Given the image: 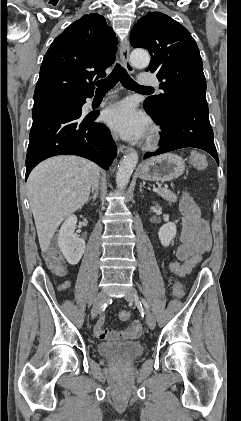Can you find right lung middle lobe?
<instances>
[{"mask_svg":"<svg viewBox=\"0 0 241 421\" xmlns=\"http://www.w3.org/2000/svg\"><path fill=\"white\" fill-rule=\"evenodd\" d=\"M45 104H46V103H44V104H40V105H37V106H34V107H33V111H34V110H36L37 108H39V107H41V106L45 105Z\"/></svg>","mask_w":241,"mask_h":421,"instance_id":"obj_1","label":"right lung middle lobe"}]
</instances>
